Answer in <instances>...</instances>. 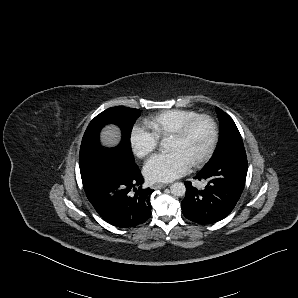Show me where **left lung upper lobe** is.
I'll list each match as a JSON object with an SVG mask.
<instances>
[{
  "label": "left lung upper lobe",
  "instance_id": "obj_1",
  "mask_svg": "<svg viewBox=\"0 0 298 298\" xmlns=\"http://www.w3.org/2000/svg\"><path fill=\"white\" fill-rule=\"evenodd\" d=\"M216 111L220 122L221 135L218 147L210 163L216 162L232 152L245 150L241 135L234 121L221 109L216 108Z\"/></svg>",
  "mask_w": 298,
  "mask_h": 298
}]
</instances>
